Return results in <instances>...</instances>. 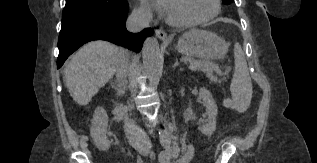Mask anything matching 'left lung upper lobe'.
<instances>
[{"label":"left lung upper lobe","instance_id":"left-lung-upper-lobe-1","mask_svg":"<svg viewBox=\"0 0 317 163\" xmlns=\"http://www.w3.org/2000/svg\"><path fill=\"white\" fill-rule=\"evenodd\" d=\"M224 4H230L232 0H222Z\"/></svg>","mask_w":317,"mask_h":163}]
</instances>
